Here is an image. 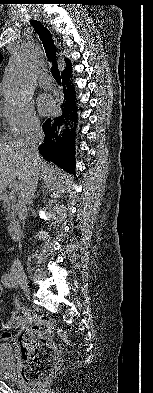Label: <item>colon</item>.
<instances>
[{
  "label": "colon",
  "mask_w": 153,
  "mask_h": 393,
  "mask_svg": "<svg viewBox=\"0 0 153 393\" xmlns=\"http://www.w3.org/2000/svg\"><path fill=\"white\" fill-rule=\"evenodd\" d=\"M25 318L13 316L7 322L0 321L1 329L22 327L18 342L21 350L22 379L31 385L47 381L62 365L60 350L52 344L54 321L42 316L39 321L25 327ZM63 337L65 333L62 332Z\"/></svg>",
  "instance_id": "1"
}]
</instances>
